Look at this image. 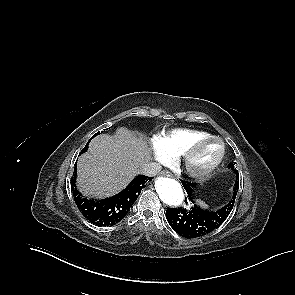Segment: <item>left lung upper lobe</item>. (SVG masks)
<instances>
[{
    "label": "left lung upper lobe",
    "instance_id": "obj_1",
    "mask_svg": "<svg viewBox=\"0 0 295 295\" xmlns=\"http://www.w3.org/2000/svg\"><path fill=\"white\" fill-rule=\"evenodd\" d=\"M228 166H229L230 169H232V170H236V169H235V163H230Z\"/></svg>",
    "mask_w": 295,
    "mask_h": 295
}]
</instances>
